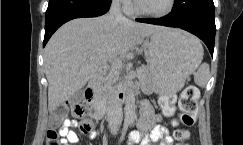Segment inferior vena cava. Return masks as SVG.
I'll return each mask as SVG.
<instances>
[{
	"mask_svg": "<svg viewBox=\"0 0 243 145\" xmlns=\"http://www.w3.org/2000/svg\"><path fill=\"white\" fill-rule=\"evenodd\" d=\"M109 15L113 18H115L118 21H126L127 18L121 13V4L120 0H114L112 2ZM111 84V83H110ZM109 84V90H110V96H109V101H108V107H107V112L108 115L113 116H121L122 114V106L121 104L117 101L116 96L114 95V91L112 87Z\"/></svg>",
	"mask_w": 243,
	"mask_h": 145,
	"instance_id": "1",
	"label": "inferior vena cava"
}]
</instances>
